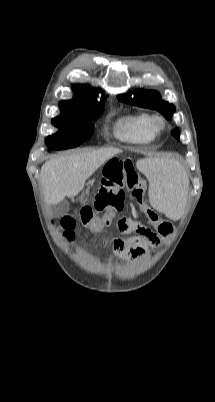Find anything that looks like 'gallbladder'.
<instances>
[{
  "label": "gallbladder",
  "mask_w": 215,
  "mask_h": 402,
  "mask_svg": "<svg viewBox=\"0 0 215 402\" xmlns=\"http://www.w3.org/2000/svg\"><path fill=\"white\" fill-rule=\"evenodd\" d=\"M69 209V204L67 201H61L55 205L52 206V210L55 215L61 216L65 214Z\"/></svg>",
  "instance_id": "bac80fb5"
}]
</instances>
